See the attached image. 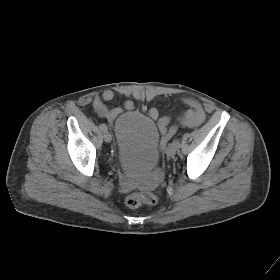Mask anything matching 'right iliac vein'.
Masks as SVG:
<instances>
[{"mask_svg": "<svg viewBox=\"0 0 280 280\" xmlns=\"http://www.w3.org/2000/svg\"><path fill=\"white\" fill-rule=\"evenodd\" d=\"M103 137H104L105 142H108V143H109V142H111V140H112L111 134H110L109 132H107V131L104 132Z\"/></svg>", "mask_w": 280, "mask_h": 280, "instance_id": "63e3f726", "label": "right iliac vein"}]
</instances>
